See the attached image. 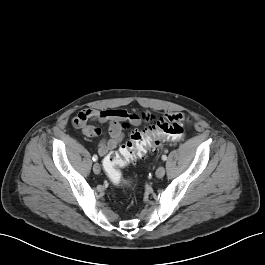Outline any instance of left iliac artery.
Wrapping results in <instances>:
<instances>
[{
	"label": "left iliac artery",
	"instance_id": "obj_1",
	"mask_svg": "<svg viewBox=\"0 0 265 265\" xmlns=\"http://www.w3.org/2000/svg\"><path fill=\"white\" fill-rule=\"evenodd\" d=\"M167 159V156L166 155H163L162 156V160L165 161Z\"/></svg>",
	"mask_w": 265,
	"mask_h": 265
}]
</instances>
